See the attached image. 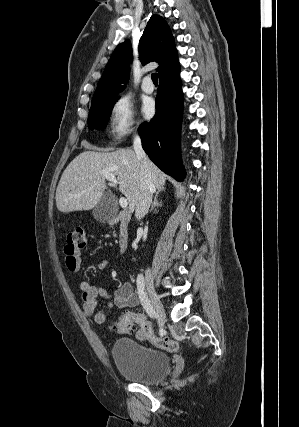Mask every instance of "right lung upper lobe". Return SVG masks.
Listing matches in <instances>:
<instances>
[{
	"label": "right lung upper lobe",
	"instance_id": "1",
	"mask_svg": "<svg viewBox=\"0 0 299 427\" xmlns=\"http://www.w3.org/2000/svg\"><path fill=\"white\" fill-rule=\"evenodd\" d=\"M140 60L143 64L150 61L159 63V78L179 70L177 50L174 38L167 22L159 15H152L139 41ZM131 61V45L126 40L119 44L104 73L98 82L93 100L115 96L125 88L129 76Z\"/></svg>",
	"mask_w": 299,
	"mask_h": 427
}]
</instances>
